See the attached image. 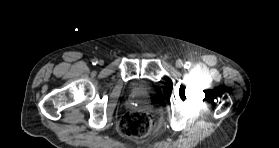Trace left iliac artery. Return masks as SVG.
<instances>
[{"mask_svg":"<svg viewBox=\"0 0 279 148\" xmlns=\"http://www.w3.org/2000/svg\"><path fill=\"white\" fill-rule=\"evenodd\" d=\"M191 67V63L190 62H185V64H184V68H190Z\"/></svg>","mask_w":279,"mask_h":148,"instance_id":"1","label":"left iliac artery"}]
</instances>
